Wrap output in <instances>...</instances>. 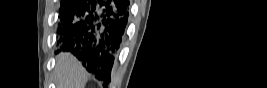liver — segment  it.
Wrapping results in <instances>:
<instances>
[{"instance_id": "6515ba94", "label": "liver", "mask_w": 267, "mask_h": 88, "mask_svg": "<svg viewBox=\"0 0 267 88\" xmlns=\"http://www.w3.org/2000/svg\"><path fill=\"white\" fill-rule=\"evenodd\" d=\"M54 80L57 88H85L87 72L76 57L61 52L56 56Z\"/></svg>"}]
</instances>
